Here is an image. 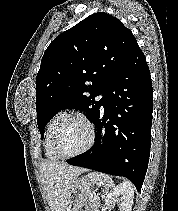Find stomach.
I'll use <instances>...</instances> for the list:
<instances>
[{
	"label": "stomach",
	"mask_w": 178,
	"mask_h": 211,
	"mask_svg": "<svg viewBox=\"0 0 178 211\" xmlns=\"http://www.w3.org/2000/svg\"><path fill=\"white\" fill-rule=\"evenodd\" d=\"M93 183L88 177L77 178L71 185L64 211H79L87 203Z\"/></svg>",
	"instance_id": "stomach-1"
}]
</instances>
